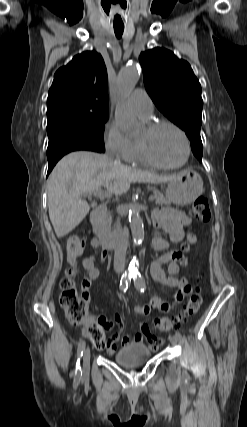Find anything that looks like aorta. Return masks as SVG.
<instances>
[{"instance_id":"762f6f07","label":"aorta","mask_w":247,"mask_h":427,"mask_svg":"<svg viewBox=\"0 0 247 427\" xmlns=\"http://www.w3.org/2000/svg\"><path fill=\"white\" fill-rule=\"evenodd\" d=\"M139 80V72L136 65H126L118 73L117 77V92L121 99L120 105L115 111V121L120 129L127 136H136L140 132V124L134 114L125 104ZM129 223L131 233L135 241H141L144 238V225L140 217L138 208L132 206L129 209Z\"/></svg>"}]
</instances>
